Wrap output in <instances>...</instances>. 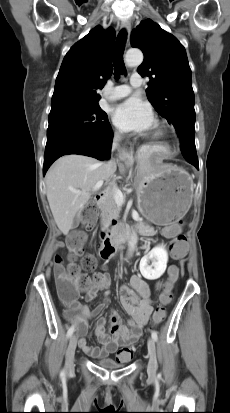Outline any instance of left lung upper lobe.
Here are the masks:
<instances>
[{
	"instance_id": "1",
	"label": "left lung upper lobe",
	"mask_w": 230,
	"mask_h": 413,
	"mask_svg": "<svg viewBox=\"0 0 230 413\" xmlns=\"http://www.w3.org/2000/svg\"><path fill=\"white\" fill-rule=\"evenodd\" d=\"M131 45L144 54L137 71L150 79L146 89L148 100L174 125L179 138L188 135L194 140V92L185 48L176 37L150 19L141 21L133 30ZM190 146L196 152L195 144Z\"/></svg>"
}]
</instances>
